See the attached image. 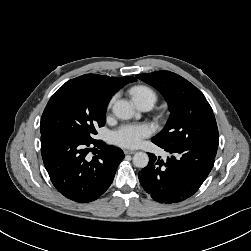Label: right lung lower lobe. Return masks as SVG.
<instances>
[{"label": "right lung lower lobe", "instance_id": "98d812e1", "mask_svg": "<svg viewBox=\"0 0 251 251\" xmlns=\"http://www.w3.org/2000/svg\"><path fill=\"white\" fill-rule=\"evenodd\" d=\"M99 154L89 160L94 148ZM41 154L55 188L66 198L85 203L97 199L112 183L123 151L101 140H84L65 132L41 135Z\"/></svg>", "mask_w": 251, "mask_h": 251}]
</instances>
